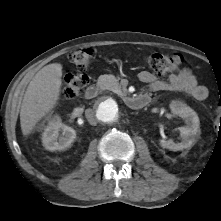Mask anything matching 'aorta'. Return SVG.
I'll use <instances>...</instances> for the list:
<instances>
[{
	"label": "aorta",
	"instance_id": "762f6f07",
	"mask_svg": "<svg viewBox=\"0 0 221 221\" xmlns=\"http://www.w3.org/2000/svg\"><path fill=\"white\" fill-rule=\"evenodd\" d=\"M121 113L122 106L120 102L112 97L102 98L95 108L97 120L105 125H111L116 122Z\"/></svg>",
	"mask_w": 221,
	"mask_h": 221
}]
</instances>
